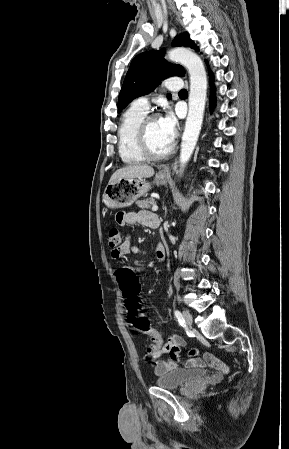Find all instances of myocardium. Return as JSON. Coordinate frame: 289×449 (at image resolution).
Returning a JSON list of instances; mask_svg holds the SVG:
<instances>
[{"label":"myocardium","instance_id":"1","mask_svg":"<svg viewBox=\"0 0 289 449\" xmlns=\"http://www.w3.org/2000/svg\"><path fill=\"white\" fill-rule=\"evenodd\" d=\"M157 119H159V117L156 114L146 116L141 122L137 133V144L139 151L143 155V157L148 160L165 159L172 155L176 149V143L174 140L170 148L164 153L156 154L150 149L148 142V128L150 124Z\"/></svg>","mask_w":289,"mask_h":449}]
</instances>
